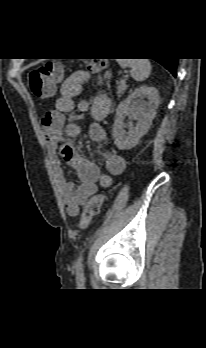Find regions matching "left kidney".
I'll return each mask as SVG.
<instances>
[{
    "instance_id": "obj_1",
    "label": "left kidney",
    "mask_w": 206,
    "mask_h": 348,
    "mask_svg": "<svg viewBox=\"0 0 206 348\" xmlns=\"http://www.w3.org/2000/svg\"><path fill=\"white\" fill-rule=\"evenodd\" d=\"M158 105V90L147 85L136 88L118 105L112 132L114 143L118 149L129 150L138 144L140 138L150 129ZM126 115L137 120L136 126H129L128 132L124 130Z\"/></svg>"
}]
</instances>
